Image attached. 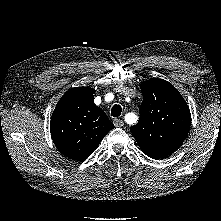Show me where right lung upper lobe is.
Returning a JSON list of instances; mask_svg holds the SVG:
<instances>
[{"mask_svg":"<svg viewBox=\"0 0 221 221\" xmlns=\"http://www.w3.org/2000/svg\"><path fill=\"white\" fill-rule=\"evenodd\" d=\"M95 90L76 87L58 101L50 121L53 142L64 156L88 158L103 137L114 128L105 112L94 104Z\"/></svg>","mask_w":221,"mask_h":221,"instance_id":"right-lung-upper-lobe-1","label":"right lung upper lobe"}]
</instances>
